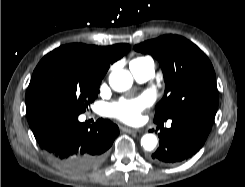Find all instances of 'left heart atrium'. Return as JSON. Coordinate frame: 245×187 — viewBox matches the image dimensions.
<instances>
[{
    "label": "left heart atrium",
    "mask_w": 245,
    "mask_h": 187,
    "mask_svg": "<svg viewBox=\"0 0 245 187\" xmlns=\"http://www.w3.org/2000/svg\"><path fill=\"white\" fill-rule=\"evenodd\" d=\"M151 104L147 95L135 99H121L109 106V113L127 123H135L140 119L142 111Z\"/></svg>",
    "instance_id": "obj_1"
}]
</instances>
